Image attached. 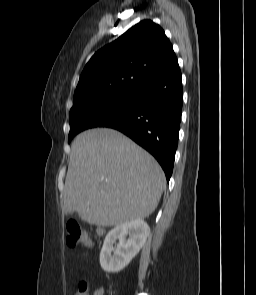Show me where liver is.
<instances>
[{"mask_svg":"<svg viewBox=\"0 0 256 295\" xmlns=\"http://www.w3.org/2000/svg\"><path fill=\"white\" fill-rule=\"evenodd\" d=\"M166 187L158 162L122 133L97 128L72 143L62 212L97 226L145 219Z\"/></svg>","mask_w":256,"mask_h":295,"instance_id":"6515ba94","label":"liver"}]
</instances>
